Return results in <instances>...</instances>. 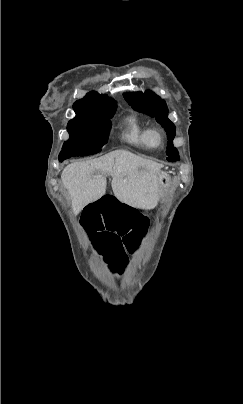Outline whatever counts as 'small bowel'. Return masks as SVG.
<instances>
[{"mask_svg":"<svg viewBox=\"0 0 243 404\" xmlns=\"http://www.w3.org/2000/svg\"><path fill=\"white\" fill-rule=\"evenodd\" d=\"M82 226L105 260L123 271L141 246L146 221L139 210L106 192L85 206Z\"/></svg>","mask_w":243,"mask_h":404,"instance_id":"small-bowel-1","label":"small bowel"}]
</instances>
